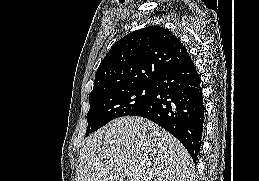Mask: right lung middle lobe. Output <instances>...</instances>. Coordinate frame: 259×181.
Instances as JSON below:
<instances>
[{"label":"right lung middle lobe","mask_w":259,"mask_h":181,"mask_svg":"<svg viewBox=\"0 0 259 181\" xmlns=\"http://www.w3.org/2000/svg\"><path fill=\"white\" fill-rule=\"evenodd\" d=\"M153 89V83L137 84L108 89L89 96L86 135L115 118L132 114L144 105Z\"/></svg>","instance_id":"obj_1"}]
</instances>
